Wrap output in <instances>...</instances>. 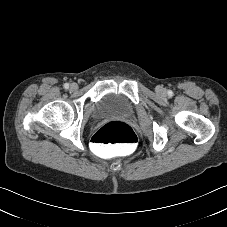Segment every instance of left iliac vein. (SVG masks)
<instances>
[{"label": "left iliac vein", "mask_w": 227, "mask_h": 227, "mask_svg": "<svg viewBox=\"0 0 227 227\" xmlns=\"http://www.w3.org/2000/svg\"><path fill=\"white\" fill-rule=\"evenodd\" d=\"M165 92H166V91H165L163 88H160V89H159V93H160V94H165Z\"/></svg>", "instance_id": "obj_1"}]
</instances>
